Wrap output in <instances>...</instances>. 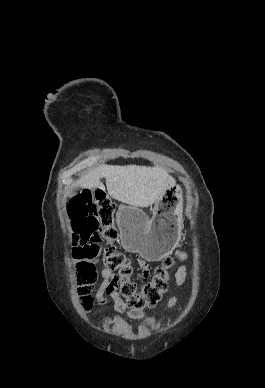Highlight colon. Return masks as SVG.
<instances>
[{
    "instance_id": "obj_1",
    "label": "colon",
    "mask_w": 265,
    "mask_h": 388,
    "mask_svg": "<svg viewBox=\"0 0 265 388\" xmlns=\"http://www.w3.org/2000/svg\"><path fill=\"white\" fill-rule=\"evenodd\" d=\"M114 210L110 197L102 189L85 190L75 195L67 205L73 234V256L77 260L76 279L80 305L85 311L93 307V289L97 274L95 263L103 264L115 274L117 292L132 309L154 306L166 291L169 272L175 265L174 258H166L155 268L152 278L140 289L132 280L130 259L115 246L117 230L114 226ZM185 253L179 252L178 259Z\"/></svg>"
}]
</instances>
